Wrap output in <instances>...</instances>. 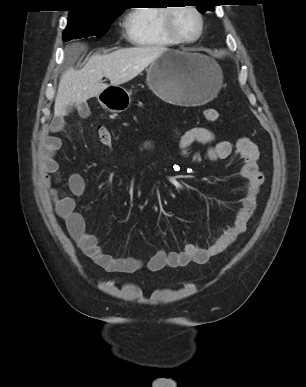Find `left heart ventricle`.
<instances>
[{"instance_id":"1","label":"left heart ventricle","mask_w":306,"mask_h":387,"mask_svg":"<svg viewBox=\"0 0 306 387\" xmlns=\"http://www.w3.org/2000/svg\"><path fill=\"white\" fill-rule=\"evenodd\" d=\"M174 25L181 36L193 38L199 30V19L192 10L182 7L174 14Z\"/></svg>"}]
</instances>
